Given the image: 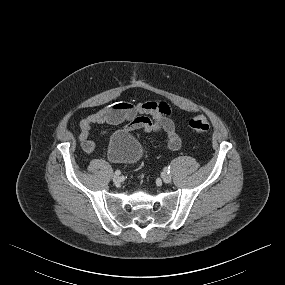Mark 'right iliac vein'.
I'll return each mask as SVG.
<instances>
[{
	"instance_id": "right-iliac-vein-1",
	"label": "right iliac vein",
	"mask_w": 285,
	"mask_h": 285,
	"mask_svg": "<svg viewBox=\"0 0 285 285\" xmlns=\"http://www.w3.org/2000/svg\"><path fill=\"white\" fill-rule=\"evenodd\" d=\"M113 182L116 184V185H119L121 183V177L119 175H114L113 177Z\"/></svg>"
}]
</instances>
